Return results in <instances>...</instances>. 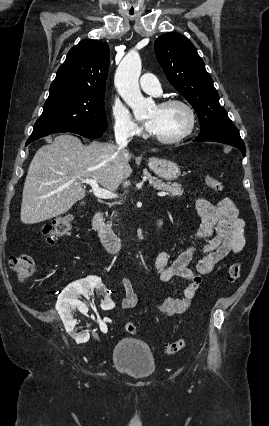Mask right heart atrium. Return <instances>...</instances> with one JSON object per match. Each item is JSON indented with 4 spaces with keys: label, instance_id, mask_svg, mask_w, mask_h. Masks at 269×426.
<instances>
[{
    "label": "right heart atrium",
    "instance_id": "d8ad5b80",
    "mask_svg": "<svg viewBox=\"0 0 269 426\" xmlns=\"http://www.w3.org/2000/svg\"><path fill=\"white\" fill-rule=\"evenodd\" d=\"M111 115L115 134L121 138H134L141 133V128L132 119L127 109L119 104L113 103Z\"/></svg>",
    "mask_w": 269,
    "mask_h": 426
}]
</instances>
